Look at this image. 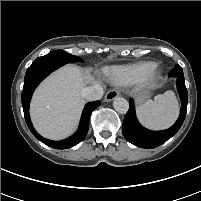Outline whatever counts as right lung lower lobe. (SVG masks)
I'll use <instances>...</instances> for the list:
<instances>
[{
    "label": "right lung lower lobe",
    "instance_id": "right-lung-lower-lobe-1",
    "mask_svg": "<svg viewBox=\"0 0 201 201\" xmlns=\"http://www.w3.org/2000/svg\"><path fill=\"white\" fill-rule=\"evenodd\" d=\"M66 63H69L68 60L61 56L47 54L45 56L37 58L26 71L22 91V106L29 130L38 140L55 149H67L80 143L85 138L88 132L89 117L91 113L100 105V101L87 103L84 107L78 130L71 137L66 138L65 140H48L40 136L35 131L29 117V103L33 91L46 76H48L51 72Z\"/></svg>",
    "mask_w": 201,
    "mask_h": 201
}]
</instances>
